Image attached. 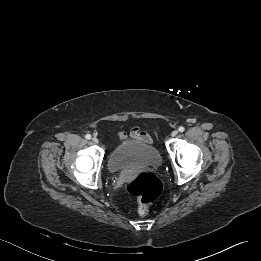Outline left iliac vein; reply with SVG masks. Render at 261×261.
I'll use <instances>...</instances> for the list:
<instances>
[{
  "label": "left iliac vein",
  "instance_id": "1",
  "mask_svg": "<svg viewBox=\"0 0 261 261\" xmlns=\"http://www.w3.org/2000/svg\"><path fill=\"white\" fill-rule=\"evenodd\" d=\"M177 134H178V131H177V130H174V131H172L171 136H172V137H175V136H177Z\"/></svg>",
  "mask_w": 261,
  "mask_h": 261
}]
</instances>
